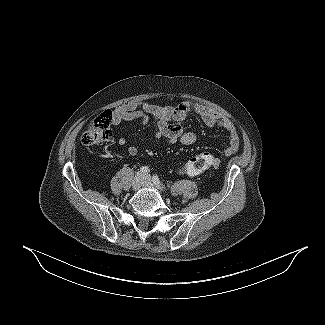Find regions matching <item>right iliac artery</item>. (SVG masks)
<instances>
[{
    "label": "right iliac artery",
    "mask_w": 325,
    "mask_h": 325,
    "mask_svg": "<svg viewBox=\"0 0 325 325\" xmlns=\"http://www.w3.org/2000/svg\"><path fill=\"white\" fill-rule=\"evenodd\" d=\"M140 171L142 173H148L150 170H149V168L147 166H143V167H141Z\"/></svg>",
    "instance_id": "obj_1"
}]
</instances>
